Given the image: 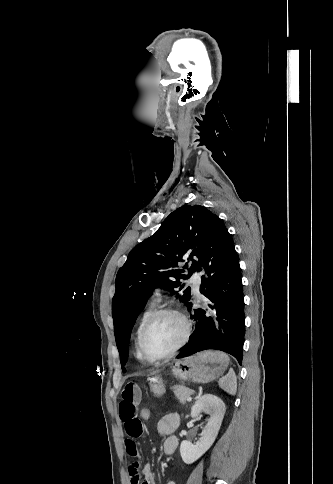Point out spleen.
I'll list each match as a JSON object with an SVG mask.
<instances>
[{
    "label": "spleen",
    "instance_id": "3e777b00",
    "mask_svg": "<svg viewBox=\"0 0 333 484\" xmlns=\"http://www.w3.org/2000/svg\"><path fill=\"white\" fill-rule=\"evenodd\" d=\"M219 386L230 395H235L237 391V378L235 372L230 369L229 372L220 378Z\"/></svg>",
    "mask_w": 333,
    "mask_h": 484
}]
</instances>
